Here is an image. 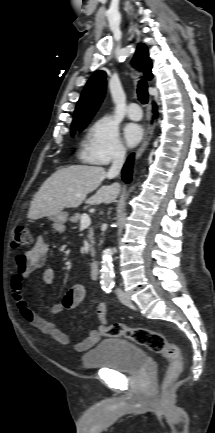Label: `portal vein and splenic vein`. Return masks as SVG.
<instances>
[{
  "mask_svg": "<svg viewBox=\"0 0 215 433\" xmlns=\"http://www.w3.org/2000/svg\"><path fill=\"white\" fill-rule=\"evenodd\" d=\"M91 224V220L88 215L84 214L81 218V227H88Z\"/></svg>",
  "mask_w": 215,
  "mask_h": 433,
  "instance_id": "obj_1",
  "label": "portal vein and splenic vein"
}]
</instances>
